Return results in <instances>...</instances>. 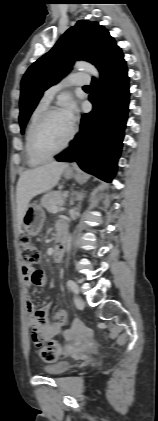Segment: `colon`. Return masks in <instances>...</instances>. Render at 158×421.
I'll use <instances>...</instances> for the list:
<instances>
[{"label":"colon","mask_w":158,"mask_h":421,"mask_svg":"<svg viewBox=\"0 0 158 421\" xmlns=\"http://www.w3.org/2000/svg\"><path fill=\"white\" fill-rule=\"evenodd\" d=\"M20 252L23 262V269L32 270L39 263L40 254L37 247L33 244L30 237L24 235L20 239ZM62 352L61 345L57 341L51 342L47 346L40 348L39 354L41 358L47 362H55Z\"/></svg>","instance_id":"obj_1"}]
</instances>
